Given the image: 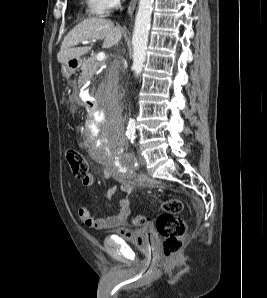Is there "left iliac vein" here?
Wrapping results in <instances>:
<instances>
[{
	"label": "left iliac vein",
	"mask_w": 267,
	"mask_h": 298,
	"mask_svg": "<svg viewBox=\"0 0 267 298\" xmlns=\"http://www.w3.org/2000/svg\"><path fill=\"white\" fill-rule=\"evenodd\" d=\"M139 162L141 165H145L146 164V160L143 156H139Z\"/></svg>",
	"instance_id": "4c4485c4"
}]
</instances>
